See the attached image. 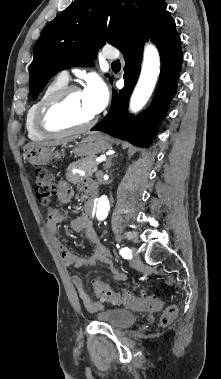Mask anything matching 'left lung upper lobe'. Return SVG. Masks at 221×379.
I'll return each instance as SVG.
<instances>
[{
    "instance_id": "1",
    "label": "left lung upper lobe",
    "mask_w": 221,
    "mask_h": 379,
    "mask_svg": "<svg viewBox=\"0 0 221 379\" xmlns=\"http://www.w3.org/2000/svg\"><path fill=\"white\" fill-rule=\"evenodd\" d=\"M161 1L75 0L44 28L35 44L29 68L32 97L36 99L57 72L92 66L105 43L119 49L142 29Z\"/></svg>"
}]
</instances>
